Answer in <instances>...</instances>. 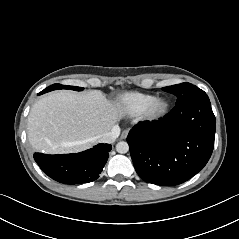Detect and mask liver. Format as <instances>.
Wrapping results in <instances>:
<instances>
[{
	"mask_svg": "<svg viewBox=\"0 0 239 239\" xmlns=\"http://www.w3.org/2000/svg\"><path fill=\"white\" fill-rule=\"evenodd\" d=\"M124 114L122 106L100 90L52 92L31 108L28 139L34 149L49 154L83 151L111 131Z\"/></svg>",
	"mask_w": 239,
	"mask_h": 239,
	"instance_id": "1",
	"label": "liver"
}]
</instances>
